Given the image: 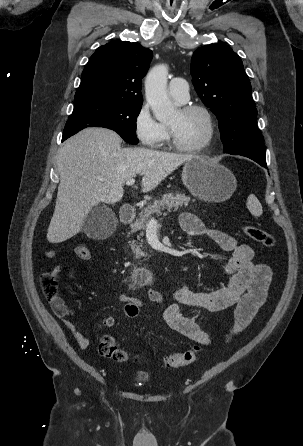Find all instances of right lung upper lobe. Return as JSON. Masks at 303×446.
<instances>
[{
    "label": "right lung upper lobe",
    "mask_w": 303,
    "mask_h": 446,
    "mask_svg": "<svg viewBox=\"0 0 303 446\" xmlns=\"http://www.w3.org/2000/svg\"><path fill=\"white\" fill-rule=\"evenodd\" d=\"M152 56L138 43L110 42L99 47L82 72L74 107L102 102L141 105V79Z\"/></svg>",
    "instance_id": "obj_1"
}]
</instances>
